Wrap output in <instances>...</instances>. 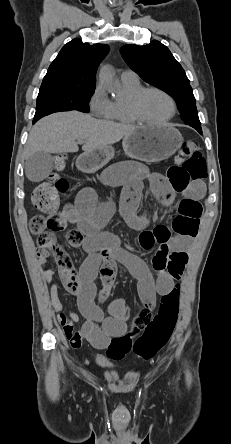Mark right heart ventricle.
I'll list each match as a JSON object with an SVG mask.
<instances>
[{
	"label": "right heart ventricle",
	"instance_id": "right-heart-ventricle-1",
	"mask_svg": "<svg viewBox=\"0 0 231 444\" xmlns=\"http://www.w3.org/2000/svg\"><path fill=\"white\" fill-rule=\"evenodd\" d=\"M121 85L124 91V97L111 101L110 110L106 116L108 120L115 121L122 124H133L138 122L129 110V101L131 97L142 88L140 81L137 80H123Z\"/></svg>",
	"mask_w": 231,
	"mask_h": 444
}]
</instances>
